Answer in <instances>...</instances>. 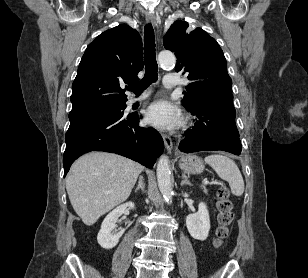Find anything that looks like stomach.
I'll use <instances>...</instances> for the list:
<instances>
[{"label": "stomach", "instance_id": "0dacf381", "mask_svg": "<svg viewBox=\"0 0 308 278\" xmlns=\"http://www.w3.org/2000/svg\"><path fill=\"white\" fill-rule=\"evenodd\" d=\"M179 167L187 174H200L204 170L202 159L196 155L182 156L179 161Z\"/></svg>", "mask_w": 308, "mask_h": 278}]
</instances>
